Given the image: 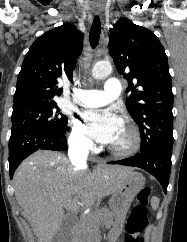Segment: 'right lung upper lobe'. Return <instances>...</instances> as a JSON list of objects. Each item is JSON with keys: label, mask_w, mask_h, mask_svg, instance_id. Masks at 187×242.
I'll return each mask as SVG.
<instances>
[{"label": "right lung upper lobe", "mask_w": 187, "mask_h": 242, "mask_svg": "<svg viewBox=\"0 0 187 242\" xmlns=\"http://www.w3.org/2000/svg\"><path fill=\"white\" fill-rule=\"evenodd\" d=\"M83 48V34L71 24L56 27L37 38L26 54L18 75L14 106L55 102L62 78L72 80Z\"/></svg>", "instance_id": "obj_1"}]
</instances>
